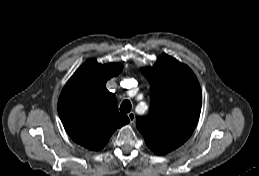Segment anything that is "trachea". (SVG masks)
I'll return each instance as SVG.
<instances>
[{"label":"trachea","instance_id":"1","mask_svg":"<svg viewBox=\"0 0 259 176\" xmlns=\"http://www.w3.org/2000/svg\"><path fill=\"white\" fill-rule=\"evenodd\" d=\"M131 107V102L129 100H124L120 106V111L129 113L131 111Z\"/></svg>","mask_w":259,"mask_h":176}]
</instances>
